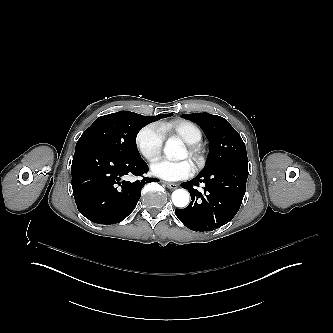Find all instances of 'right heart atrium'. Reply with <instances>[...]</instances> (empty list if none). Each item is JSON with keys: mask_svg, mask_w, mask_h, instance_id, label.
Masks as SVG:
<instances>
[{"mask_svg": "<svg viewBox=\"0 0 333 333\" xmlns=\"http://www.w3.org/2000/svg\"><path fill=\"white\" fill-rule=\"evenodd\" d=\"M164 137L157 126H145L136 136L135 144L140 155L152 166L156 163L162 152Z\"/></svg>", "mask_w": 333, "mask_h": 333, "instance_id": "d8ad5b80", "label": "right heart atrium"}]
</instances>
